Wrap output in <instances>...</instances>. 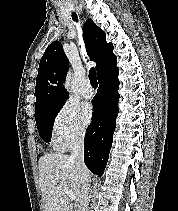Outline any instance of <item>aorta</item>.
Listing matches in <instances>:
<instances>
[{"mask_svg":"<svg viewBox=\"0 0 178 211\" xmlns=\"http://www.w3.org/2000/svg\"><path fill=\"white\" fill-rule=\"evenodd\" d=\"M65 86H66L67 90L70 89V77L69 76H68V78L66 80Z\"/></svg>","mask_w":178,"mask_h":211,"instance_id":"obj_1","label":"aorta"}]
</instances>
